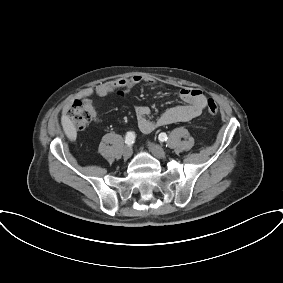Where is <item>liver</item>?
<instances>
[{"label": "liver", "mask_w": 283, "mask_h": 283, "mask_svg": "<svg viewBox=\"0 0 283 283\" xmlns=\"http://www.w3.org/2000/svg\"><path fill=\"white\" fill-rule=\"evenodd\" d=\"M61 123L66 136L70 140H75L77 136V131L73 122L69 119V117L66 115H62Z\"/></svg>", "instance_id": "6515ba94"}]
</instances>
